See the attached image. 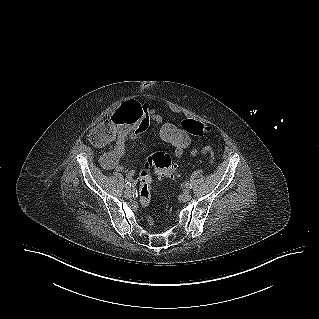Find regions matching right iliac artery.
Segmentation results:
<instances>
[{
  "instance_id": "obj_1",
  "label": "right iliac artery",
  "mask_w": 319,
  "mask_h": 319,
  "mask_svg": "<svg viewBox=\"0 0 319 319\" xmlns=\"http://www.w3.org/2000/svg\"><path fill=\"white\" fill-rule=\"evenodd\" d=\"M131 185H132V184H131L130 182H127V183L125 184V187L129 189V188L131 187Z\"/></svg>"
}]
</instances>
